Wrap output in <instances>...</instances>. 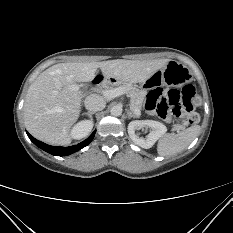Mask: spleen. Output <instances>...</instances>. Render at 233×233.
I'll list each match as a JSON object with an SVG mask.
<instances>
[{"label":"spleen","instance_id":"spleen-1","mask_svg":"<svg viewBox=\"0 0 233 233\" xmlns=\"http://www.w3.org/2000/svg\"><path fill=\"white\" fill-rule=\"evenodd\" d=\"M200 126H191L180 133H168L161 137L157 152L161 156L175 155L186 149L199 135Z\"/></svg>","mask_w":233,"mask_h":233}]
</instances>
